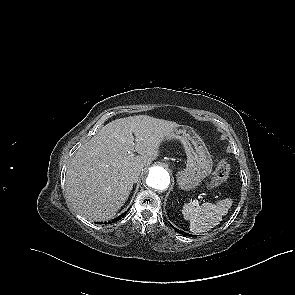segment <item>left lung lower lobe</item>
I'll list each match as a JSON object with an SVG mask.
<instances>
[{
  "instance_id": "left-lung-lower-lobe-1",
  "label": "left lung lower lobe",
  "mask_w": 295,
  "mask_h": 295,
  "mask_svg": "<svg viewBox=\"0 0 295 295\" xmlns=\"http://www.w3.org/2000/svg\"><path fill=\"white\" fill-rule=\"evenodd\" d=\"M173 227V229L175 230V231H177L178 233H180V234H182V235H185V236H191L190 234H188V233H185V232H183V231H181V230H178L177 228H175L174 226H172Z\"/></svg>"
}]
</instances>
